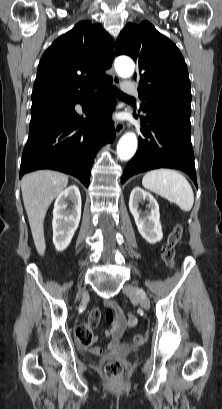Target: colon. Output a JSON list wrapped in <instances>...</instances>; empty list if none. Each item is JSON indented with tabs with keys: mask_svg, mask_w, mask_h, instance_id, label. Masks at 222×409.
<instances>
[{
	"mask_svg": "<svg viewBox=\"0 0 222 409\" xmlns=\"http://www.w3.org/2000/svg\"><path fill=\"white\" fill-rule=\"evenodd\" d=\"M182 234V228L176 226L170 233L167 242L162 247V259L170 268L175 267L176 245L181 240ZM106 320L109 324H112L114 320L113 311L109 307L106 310ZM76 338L81 345H87L92 342L93 333L87 324H81L77 327ZM134 342L140 345L144 342V337L142 335H136L134 337ZM105 372L108 379L113 383L123 380V365L119 360H110L107 362L105 365Z\"/></svg>",
	"mask_w": 222,
	"mask_h": 409,
	"instance_id": "5ec220e1",
	"label": "colon"
}]
</instances>
